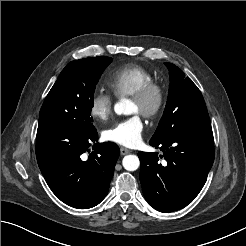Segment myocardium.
I'll return each mask as SVG.
<instances>
[{
    "mask_svg": "<svg viewBox=\"0 0 246 246\" xmlns=\"http://www.w3.org/2000/svg\"><path fill=\"white\" fill-rule=\"evenodd\" d=\"M140 106V113L147 119L158 117L164 109L166 95L164 88L152 82L131 96Z\"/></svg>",
    "mask_w": 246,
    "mask_h": 246,
    "instance_id": "myocardium-1",
    "label": "myocardium"
}]
</instances>
